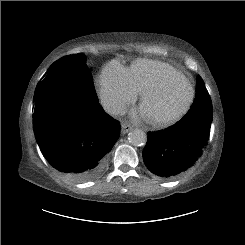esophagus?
<instances>
[{"label": "esophagus", "mask_w": 245, "mask_h": 245, "mask_svg": "<svg viewBox=\"0 0 245 245\" xmlns=\"http://www.w3.org/2000/svg\"><path fill=\"white\" fill-rule=\"evenodd\" d=\"M132 129V126L127 124V123H122L121 124V132L122 134L128 133Z\"/></svg>", "instance_id": "obj_1"}]
</instances>
